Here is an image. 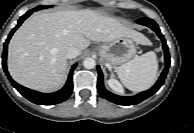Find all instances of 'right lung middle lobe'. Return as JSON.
I'll list each match as a JSON object with an SVG mask.
<instances>
[{
  "label": "right lung middle lobe",
  "instance_id": "dd1d6c3e",
  "mask_svg": "<svg viewBox=\"0 0 194 133\" xmlns=\"http://www.w3.org/2000/svg\"><path fill=\"white\" fill-rule=\"evenodd\" d=\"M45 7H50V6H38V7L34 8V9H32V10H33V11H37V10L43 9V8H45Z\"/></svg>",
  "mask_w": 194,
  "mask_h": 133
}]
</instances>
